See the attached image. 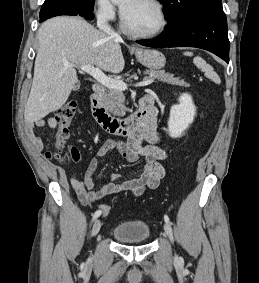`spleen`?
Returning a JSON list of instances; mask_svg holds the SVG:
<instances>
[{"mask_svg": "<svg viewBox=\"0 0 259 283\" xmlns=\"http://www.w3.org/2000/svg\"><path fill=\"white\" fill-rule=\"evenodd\" d=\"M184 55L192 56L193 53L184 52ZM193 62L196 65V67H198L199 69H201V71L205 73L206 77L212 79L213 81H218V82L220 81L218 75L214 72L213 68L209 64H207L204 59H202L201 57H195Z\"/></svg>", "mask_w": 259, "mask_h": 283, "instance_id": "1", "label": "spleen"}]
</instances>
